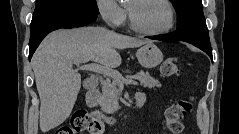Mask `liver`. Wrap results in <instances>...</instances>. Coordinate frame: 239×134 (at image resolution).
<instances>
[{
  "instance_id": "1",
  "label": "liver",
  "mask_w": 239,
  "mask_h": 134,
  "mask_svg": "<svg viewBox=\"0 0 239 134\" xmlns=\"http://www.w3.org/2000/svg\"><path fill=\"white\" fill-rule=\"evenodd\" d=\"M150 43L102 27L57 30L40 44L32 58L40 96L42 132L62 124L71 114L81 88V76L73 64L95 61L105 67L121 64L118 50Z\"/></svg>"
}]
</instances>
